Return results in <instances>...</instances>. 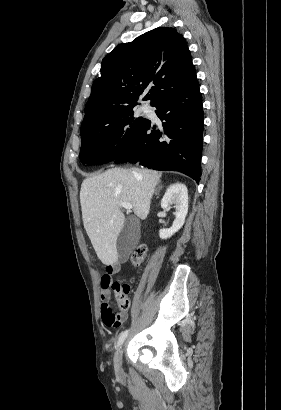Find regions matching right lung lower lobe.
I'll list each match as a JSON object with an SVG mask.
<instances>
[{
    "instance_id": "obj_1",
    "label": "right lung lower lobe",
    "mask_w": 281,
    "mask_h": 410,
    "mask_svg": "<svg viewBox=\"0 0 281 410\" xmlns=\"http://www.w3.org/2000/svg\"><path fill=\"white\" fill-rule=\"evenodd\" d=\"M163 121L160 128L145 125L114 160L164 171H179L197 183L201 176L203 108L198 81L181 91L159 98L153 105Z\"/></svg>"
}]
</instances>
